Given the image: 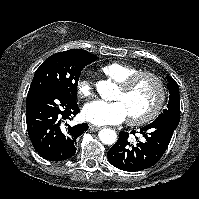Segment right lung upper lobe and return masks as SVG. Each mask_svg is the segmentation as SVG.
Returning <instances> with one entry per match:
<instances>
[{
    "label": "right lung upper lobe",
    "instance_id": "1",
    "mask_svg": "<svg viewBox=\"0 0 199 199\" xmlns=\"http://www.w3.org/2000/svg\"><path fill=\"white\" fill-rule=\"evenodd\" d=\"M67 52L82 54V53H85V52H87V51L82 50V49H71V50H68Z\"/></svg>",
    "mask_w": 199,
    "mask_h": 199
}]
</instances>
